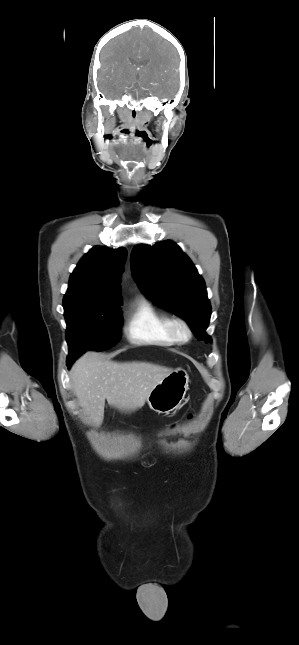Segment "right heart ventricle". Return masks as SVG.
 I'll use <instances>...</instances> for the list:
<instances>
[{"mask_svg":"<svg viewBox=\"0 0 299 645\" xmlns=\"http://www.w3.org/2000/svg\"><path fill=\"white\" fill-rule=\"evenodd\" d=\"M169 319L149 299L138 297L128 312L125 335L137 345L172 346L175 341L168 332Z\"/></svg>","mask_w":299,"mask_h":645,"instance_id":"right-heart-ventricle-1","label":"right heart ventricle"}]
</instances>
